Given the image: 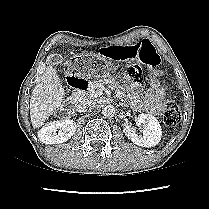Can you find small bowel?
Segmentation results:
<instances>
[{"instance_id": "obj_1", "label": "small bowel", "mask_w": 209, "mask_h": 209, "mask_svg": "<svg viewBox=\"0 0 209 209\" xmlns=\"http://www.w3.org/2000/svg\"><path fill=\"white\" fill-rule=\"evenodd\" d=\"M127 79L135 86H141L146 81V76L137 64L126 67ZM132 107L136 111H145L152 115H160L165 108V90L155 76L148 78V89L144 95L130 96Z\"/></svg>"}]
</instances>
